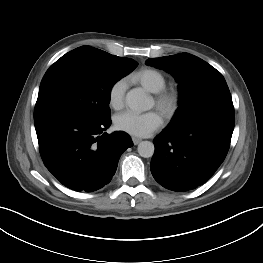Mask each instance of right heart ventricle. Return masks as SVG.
<instances>
[{"mask_svg": "<svg viewBox=\"0 0 263 263\" xmlns=\"http://www.w3.org/2000/svg\"><path fill=\"white\" fill-rule=\"evenodd\" d=\"M130 80L151 93H157L166 86L165 76L154 68H141L130 76Z\"/></svg>", "mask_w": 263, "mask_h": 263, "instance_id": "obj_1", "label": "right heart ventricle"}]
</instances>
